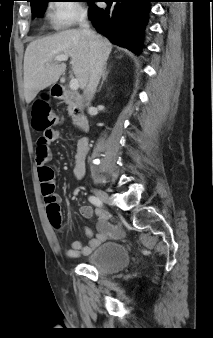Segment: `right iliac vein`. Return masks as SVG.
<instances>
[{
    "label": "right iliac vein",
    "instance_id": "right-iliac-vein-1",
    "mask_svg": "<svg viewBox=\"0 0 213 338\" xmlns=\"http://www.w3.org/2000/svg\"><path fill=\"white\" fill-rule=\"evenodd\" d=\"M93 193L96 195L97 198L104 202H110V198L107 193L99 190V189H93Z\"/></svg>",
    "mask_w": 213,
    "mask_h": 338
}]
</instances>
